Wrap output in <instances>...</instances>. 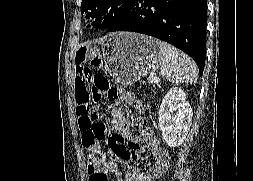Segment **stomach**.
<instances>
[{"label": "stomach", "instance_id": "obj_1", "mask_svg": "<svg viewBox=\"0 0 253 181\" xmlns=\"http://www.w3.org/2000/svg\"><path fill=\"white\" fill-rule=\"evenodd\" d=\"M102 58L105 70L116 82L131 85L161 66L160 41L146 35L120 32L102 47Z\"/></svg>", "mask_w": 253, "mask_h": 181}]
</instances>
